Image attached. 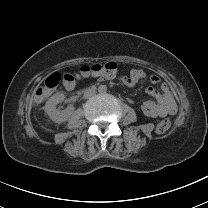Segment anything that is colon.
<instances>
[{
    "instance_id": "5ec220e1",
    "label": "colon",
    "mask_w": 208,
    "mask_h": 208,
    "mask_svg": "<svg viewBox=\"0 0 208 208\" xmlns=\"http://www.w3.org/2000/svg\"><path fill=\"white\" fill-rule=\"evenodd\" d=\"M118 70L119 66L116 62H95L92 64L83 65L79 73L84 76H93L99 78L101 76H110L117 74ZM61 83H64L67 87L72 88L75 86L76 81L74 78H72V75L69 71H64L63 75H61L60 73L51 74L49 78L45 81V86L48 90H52ZM43 93V90H38L37 95L40 96ZM171 126V119L165 118L158 124L156 132L159 134H165L170 130Z\"/></svg>"
}]
</instances>
